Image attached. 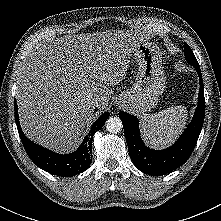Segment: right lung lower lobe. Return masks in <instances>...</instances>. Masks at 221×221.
Listing matches in <instances>:
<instances>
[{"mask_svg":"<svg viewBox=\"0 0 221 221\" xmlns=\"http://www.w3.org/2000/svg\"><path fill=\"white\" fill-rule=\"evenodd\" d=\"M109 113H104L91 127L89 134L84 138L80 147L70 154H57L45 149L29 140L23 133L18 117L17 104L15 100V122L22 144L29 158L40 168L49 173L62 177H70L79 174L90 166L92 159V140L94 134L100 130Z\"/></svg>","mask_w":221,"mask_h":221,"instance_id":"obj_1","label":"right lung lower lobe"}]
</instances>
